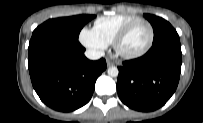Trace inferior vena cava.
<instances>
[{
  "instance_id": "602c4592",
  "label": "inferior vena cava",
  "mask_w": 203,
  "mask_h": 123,
  "mask_svg": "<svg viewBox=\"0 0 203 123\" xmlns=\"http://www.w3.org/2000/svg\"><path fill=\"white\" fill-rule=\"evenodd\" d=\"M104 55V52L100 50L88 49L85 51V56L90 60L100 59Z\"/></svg>"
}]
</instances>
